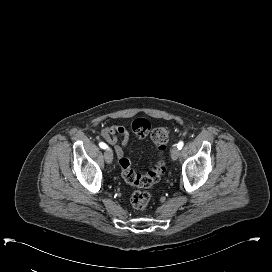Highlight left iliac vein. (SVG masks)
Masks as SVG:
<instances>
[{
    "label": "left iliac vein",
    "mask_w": 272,
    "mask_h": 272,
    "mask_svg": "<svg viewBox=\"0 0 272 272\" xmlns=\"http://www.w3.org/2000/svg\"><path fill=\"white\" fill-rule=\"evenodd\" d=\"M180 155V149H178L177 146H174L173 149L171 150V158L173 160H177Z\"/></svg>",
    "instance_id": "4c4485c4"
}]
</instances>
